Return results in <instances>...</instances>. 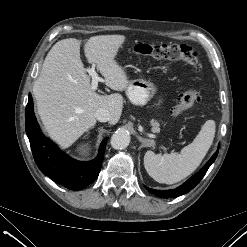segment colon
<instances>
[{"mask_svg": "<svg viewBox=\"0 0 247 247\" xmlns=\"http://www.w3.org/2000/svg\"><path fill=\"white\" fill-rule=\"evenodd\" d=\"M131 52L155 59L182 60L196 71L201 69V61L197 52L185 44H136ZM202 89L194 86L180 96V100L173 110V116L178 117L190 109L201 98Z\"/></svg>", "mask_w": 247, "mask_h": 247, "instance_id": "1", "label": "colon"}]
</instances>
